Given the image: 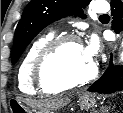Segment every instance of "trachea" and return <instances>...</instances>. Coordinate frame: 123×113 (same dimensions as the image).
Instances as JSON below:
<instances>
[{
  "label": "trachea",
  "instance_id": "3493384b",
  "mask_svg": "<svg viewBox=\"0 0 123 113\" xmlns=\"http://www.w3.org/2000/svg\"><path fill=\"white\" fill-rule=\"evenodd\" d=\"M100 17H101V18H109V16H108L107 14L101 15Z\"/></svg>",
  "mask_w": 123,
  "mask_h": 113
}]
</instances>
